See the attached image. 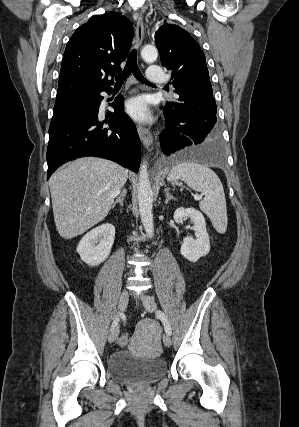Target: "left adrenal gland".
<instances>
[{"label":"left adrenal gland","mask_w":299,"mask_h":427,"mask_svg":"<svg viewBox=\"0 0 299 427\" xmlns=\"http://www.w3.org/2000/svg\"><path fill=\"white\" fill-rule=\"evenodd\" d=\"M165 193H166V200H165V203L167 204L168 202H169V200H171V199H174L175 200V198L170 194V192H169V189L167 188V189H165Z\"/></svg>","instance_id":"1"}]
</instances>
